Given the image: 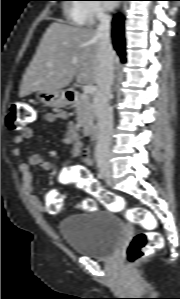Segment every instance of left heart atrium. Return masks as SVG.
<instances>
[{"label": "left heart atrium", "mask_w": 180, "mask_h": 299, "mask_svg": "<svg viewBox=\"0 0 180 299\" xmlns=\"http://www.w3.org/2000/svg\"><path fill=\"white\" fill-rule=\"evenodd\" d=\"M110 7H113V4H109Z\"/></svg>", "instance_id": "1"}]
</instances>
